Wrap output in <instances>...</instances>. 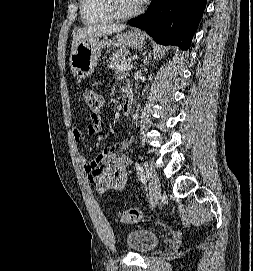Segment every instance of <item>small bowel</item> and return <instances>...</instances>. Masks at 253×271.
<instances>
[{
	"label": "small bowel",
	"mask_w": 253,
	"mask_h": 271,
	"mask_svg": "<svg viewBox=\"0 0 253 271\" xmlns=\"http://www.w3.org/2000/svg\"><path fill=\"white\" fill-rule=\"evenodd\" d=\"M129 91L128 88L126 92ZM102 130L100 116H93L86 128V135L93 136ZM73 139L76 141L82 138V132L76 128L70 129ZM130 146L129 140H123L113 146L104 147L99 156L93 162H87L83 155L80 160L88 172L89 180L95 185L98 193L104 194L109 190H123L127 182V168L130 165L128 157L120 154Z\"/></svg>",
	"instance_id": "1"
}]
</instances>
